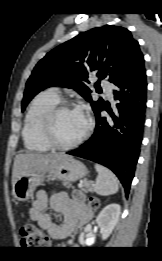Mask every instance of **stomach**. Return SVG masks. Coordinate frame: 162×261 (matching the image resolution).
Masks as SVG:
<instances>
[{
	"instance_id": "1",
	"label": "stomach",
	"mask_w": 162,
	"mask_h": 261,
	"mask_svg": "<svg viewBox=\"0 0 162 261\" xmlns=\"http://www.w3.org/2000/svg\"><path fill=\"white\" fill-rule=\"evenodd\" d=\"M87 172L82 162L67 156L48 173H33L20 177L13 185L12 193L15 199L25 202L34 196L36 187L42 185L46 178L73 182L85 177Z\"/></svg>"
}]
</instances>
